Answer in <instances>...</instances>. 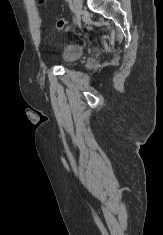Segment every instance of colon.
Segmentation results:
<instances>
[{
	"instance_id": "1",
	"label": "colon",
	"mask_w": 163,
	"mask_h": 235,
	"mask_svg": "<svg viewBox=\"0 0 163 235\" xmlns=\"http://www.w3.org/2000/svg\"><path fill=\"white\" fill-rule=\"evenodd\" d=\"M40 3H42V1H40ZM65 25H66V20L64 18H59L56 21V28L57 29H62L65 27Z\"/></svg>"
}]
</instances>
